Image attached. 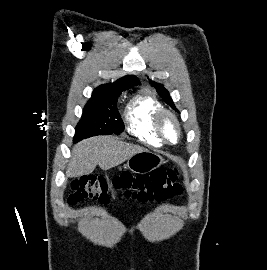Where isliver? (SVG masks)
Segmentation results:
<instances>
[{"instance_id": "obj_1", "label": "liver", "mask_w": 267, "mask_h": 270, "mask_svg": "<svg viewBox=\"0 0 267 270\" xmlns=\"http://www.w3.org/2000/svg\"><path fill=\"white\" fill-rule=\"evenodd\" d=\"M146 149L118 140L112 136H98L81 141L72 149L66 176L79 177L94 171L97 165L106 171Z\"/></svg>"}]
</instances>
